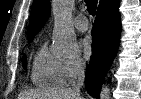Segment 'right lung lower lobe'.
Segmentation results:
<instances>
[{"label":"right lung lower lobe","instance_id":"obj_1","mask_svg":"<svg viewBox=\"0 0 141 99\" xmlns=\"http://www.w3.org/2000/svg\"><path fill=\"white\" fill-rule=\"evenodd\" d=\"M119 0H106L99 4L92 28L93 50L85 74L89 94L98 98L104 77L117 53L121 23Z\"/></svg>","mask_w":141,"mask_h":99}]
</instances>
